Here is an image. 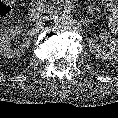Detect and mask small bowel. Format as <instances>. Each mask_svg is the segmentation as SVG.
I'll return each instance as SVG.
<instances>
[{
  "label": "small bowel",
  "mask_w": 118,
  "mask_h": 118,
  "mask_svg": "<svg viewBox=\"0 0 118 118\" xmlns=\"http://www.w3.org/2000/svg\"><path fill=\"white\" fill-rule=\"evenodd\" d=\"M116 6H118V4H116ZM116 30H118V26H117Z\"/></svg>",
  "instance_id": "small-bowel-1"
}]
</instances>
